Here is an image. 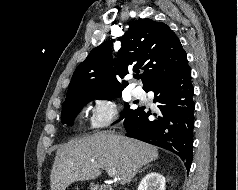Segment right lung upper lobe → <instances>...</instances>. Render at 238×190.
<instances>
[{
  "label": "right lung upper lobe",
  "instance_id": "1",
  "mask_svg": "<svg viewBox=\"0 0 238 190\" xmlns=\"http://www.w3.org/2000/svg\"><path fill=\"white\" fill-rule=\"evenodd\" d=\"M119 40L121 49L116 60L111 56L113 40L90 52L73 73L66 99L81 94H120L128 85L123 77L140 70L144 71L142 81L146 91L179 70L187 60L175 33L168 25L152 19L130 22L128 31Z\"/></svg>",
  "mask_w": 238,
  "mask_h": 190
}]
</instances>
